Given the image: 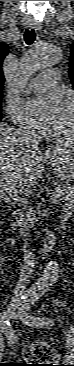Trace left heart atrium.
Listing matches in <instances>:
<instances>
[{
  "label": "left heart atrium",
  "instance_id": "left-heart-atrium-1",
  "mask_svg": "<svg viewBox=\"0 0 74 366\" xmlns=\"http://www.w3.org/2000/svg\"><path fill=\"white\" fill-rule=\"evenodd\" d=\"M61 111L62 104L55 96L34 99L26 106V121L44 132L52 131Z\"/></svg>",
  "mask_w": 74,
  "mask_h": 366
}]
</instances>
